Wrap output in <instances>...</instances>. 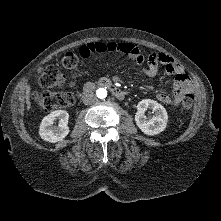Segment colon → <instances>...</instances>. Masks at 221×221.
I'll return each instance as SVG.
<instances>
[{
	"instance_id": "obj_1",
	"label": "colon",
	"mask_w": 221,
	"mask_h": 221,
	"mask_svg": "<svg viewBox=\"0 0 221 221\" xmlns=\"http://www.w3.org/2000/svg\"><path fill=\"white\" fill-rule=\"evenodd\" d=\"M79 56L73 52H67L62 58V66L65 69H73L78 65ZM66 82L65 76L56 66L45 67L39 77L41 87L45 89L57 88ZM32 98L44 111H52L73 105L75 97L71 92L34 91ZM192 106V98L187 97L181 103V110L187 112Z\"/></svg>"
}]
</instances>
